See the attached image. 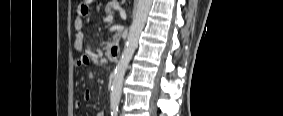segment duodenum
I'll return each instance as SVG.
<instances>
[{
    "mask_svg": "<svg viewBox=\"0 0 283 116\" xmlns=\"http://www.w3.org/2000/svg\"><path fill=\"white\" fill-rule=\"evenodd\" d=\"M107 53H108V58L111 61H116L118 56H119V48H118V46H116L114 44H109L107 46Z\"/></svg>",
    "mask_w": 283,
    "mask_h": 116,
    "instance_id": "1",
    "label": "duodenum"
}]
</instances>
